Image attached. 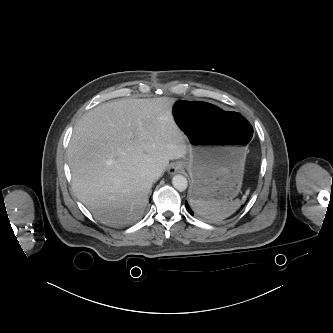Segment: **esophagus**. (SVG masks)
I'll return each mask as SVG.
<instances>
[{
    "mask_svg": "<svg viewBox=\"0 0 333 333\" xmlns=\"http://www.w3.org/2000/svg\"><path fill=\"white\" fill-rule=\"evenodd\" d=\"M182 165L179 162L171 164V166L168 169V172L170 174H175L176 172H179L182 170Z\"/></svg>",
    "mask_w": 333,
    "mask_h": 333,
    "instance_id": "34e87169",
    "label": "esophagus"
}]
</instances>
